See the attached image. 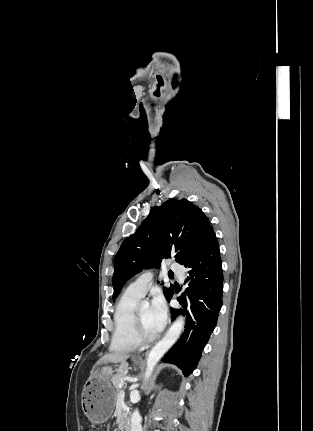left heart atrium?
<instances>
[{
	"label": "left heart atrium",
	"mask_w": 313,
	"mask_h": 431,
	"mask_svg": "<svg viewBox=\"0 0 313 431\" xmlns=\"http://www.w3.org/2000/svg\"><path fill=\"white\" fill-rule=\"evenodd\" d=\"M152 324L156 332L160 331L167 319V308L163 297L156 294L150 305Z\"/></svg>",
	"instance_id": "obj_1"
}]
</instances>
